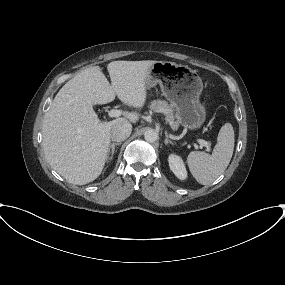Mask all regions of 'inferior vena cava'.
<instances>
[{
	"mask_svg": "<svg viewBox=\"0 0 285 285\" xmlns=\"http://www.w3.org/2000/svg\"><path fill=\"white\" fill-rule=\"evenodd\" d=\"M132 131V125L127 122H120L114 125L110 131V136L113 141L122 142L127 139Z\"/></svg>",
	"mask_w": 285,
	"mask_h": 285,
	"instance_id": "obj_1",
	"label": "inferior vena cava"
}]
</instances>
